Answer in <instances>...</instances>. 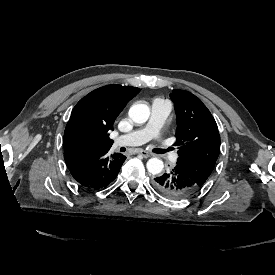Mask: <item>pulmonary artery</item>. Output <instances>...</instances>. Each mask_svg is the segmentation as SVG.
<instances>
[{
  "mask_svg": "<svg viewBox=\"0 0 275 275\" xmlns=\"http://www.w3.org/2000/svg\"><path fill=\"white\" fill-rule=\"evenodd\" d=\"M152 108V118L146 127L120 135L114 140L113 146H138L151 138L157 148H161L163 152H166L168 150L166 139L162 137V133L157 130L163 124L164 115L170 111L171 104L167 99L158 97L153 101ZM166 155L171 164L176 165L179 163L180 158L177 153L168 150Z\"/></svg>",
  "mask_w": 275,
  "mask_h": 275,
  "instance_id": "1",
  "label": "pulmonary artery"
}]
</instances>
